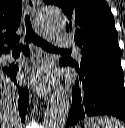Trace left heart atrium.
Masks as SVG:
<instances>
[{
  "mask_svg": "<svg viewBox=\"0 0 125 128\" xmlns=\"http://www.w3.org/2000/svg\"><path fill=\"white\" fill-rule=\"evenodd\" d=\"M54 81V75L49 68H41L32 77V82L37 87H48Z\"/></svg>",
  "mask_w": 125,
  "mask_h": 128,
  "instance_id": "left-heart-atrium-1",
  "label": "left heart atrium"
}]
</instances>
